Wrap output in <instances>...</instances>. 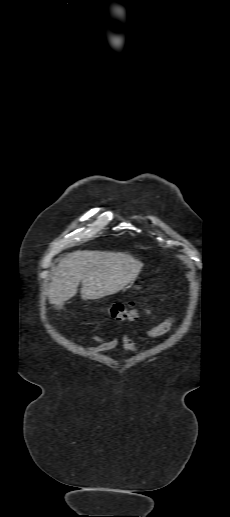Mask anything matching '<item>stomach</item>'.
I'll use <instances>...</instances> for the list:
<instances>
[{
	"label": "stomach",
	"mask_w": 230,
	"mask_h": 517,
	"mask_svg": "<svg viewBox=\"0 0 230 517\" xmlns=\"http://www.w3.org/2000/svg\"><path fill=\"white\" fill-rule=\"evenodd\" d=\"M140 287L139 286H134L133 289L137 290L139 289Z\"/></svg>",
	"instance_id": "obj_1"
}]
</instances>
